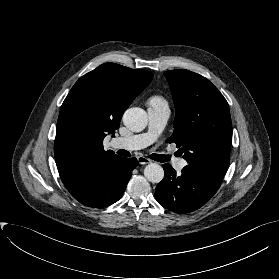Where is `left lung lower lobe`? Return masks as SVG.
Returning a JSON list of instances; mask_svg holds the SVG:
<instances>
[{"instance_id": "1", "label": "left lung lower lobe", "mask_w": 279, "mask_h": 279, "mask_svg": "<svg viewBox=\"0 0 279 279\" xmlns=\"http://www.w3.org/2000/svg\"><path fill=\"white\" fill-rule=\"evenodd\" d=\"M165 176L155 189L157 201L166 209L179 214L189 213L205 205L219 186L203 177L184 172L176 175L169 164H164Z\"/></svg>"}]
</instances>
